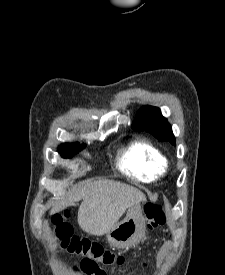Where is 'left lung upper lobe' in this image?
Masks as SVG:
<instances>
[{"label": "left lung upper lobe", "mask_w": 225, "mask_h": 275, "mask_svg": "<svg viewBox=\"0 0 225 275\" xmlns=\"http://www.w3.org/2000/svg\"><path fill=\"white\" fill-rule=\"evenodd\" d=\"M132 128L136 131H147L158 140L169 141L175 145V137L168 121L157 107L144 106L138 112Z\"/></svg>", "instance_id": "1"}]
</instances>
